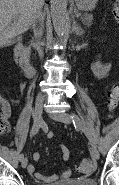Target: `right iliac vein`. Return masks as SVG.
Returning <instances> with one entry per match:
<instances>
[{
  "instance_id": "obj_1",
  "label": "right iliac vein",
  "mask_w": 119,
  "mask_h": 185,
  "mask_svg": "<svg viewBox=\"0 0 119 185\" xmlns=\"http://www.w3.org/2000/svg\"><path fill=\"white\" fill-rule=\"evenodd\" d=\"M42 104H43V101L41 99H38L35 103V107H34V112L33 113H39V116L38 118L40 119L39 121L41 122L40 124H35L34 125H41L42 124ZM34 119V118H33ZM35 122V121H34ZM27 164H28V159L26 157H24L22 160H21V165L23 168H26L27 167Z\"/></svg>"
}]
</instances>
